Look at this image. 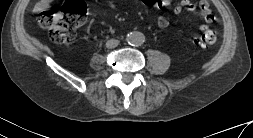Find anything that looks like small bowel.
Masks as SVG:
<instances>
[{"label": "small bowel", "instance_id": "small-bowel-1", "mask_svg": "<svg viewBox=\"0 0 253 138\" xmlns=\"http://www.w3.org/2000/svg\"><path fill=\"white\" fill-rule=\"evenodd\" d=\"M147 5L157 9H171L174 14H179L183 10L194 11L196 7L199 8L200 13L204 19V23L199 26V30L205 31L209 25L215 20V16L210 8L207 0H198L197 5H194L191 0H181L177 3H172L170 0H143ZM54 0H39L35 5V10L38 12L46 10ZM157 26L160 29H166L169 26V21L164 16L157 18Z\"/></svg>", "mask_w": 253, "mask_h": 138}]
</instances>
